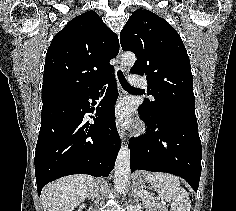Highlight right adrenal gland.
<instances>
[{
    "label": "right adrenal gland",
    "instance_id": "obj_1",
    "mask_svg": "<svg viewBox=\"0 0 236 211\" xmlns=\"http://www.w3.org/2000/svg\"><path fill=\"white\" fill-rule=\"evenodd\" d=\"M95 190L93 191V193L92 194H90L89 195V197L88 198H90V199H92V200H94V198H97L98 197V192H99V186H98V184H96L95 183Z\"/></svg>",
    "mask_w": 236,
    "mask_h": 211
}]
</instances>
